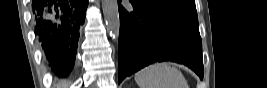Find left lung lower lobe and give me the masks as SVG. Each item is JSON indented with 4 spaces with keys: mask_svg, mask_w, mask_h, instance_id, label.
Returning a JSON list of instances; mask_svg holds the SVG:
<instances>
[{
    "mask_svg": "<svg viewBox=\"0 0 267 88\" xmlns=\"http://www.w3.org/2000/svg\"><path fill=\"white\" fill-rule=\"evenodd\" d=\"M119 2L118 80L160 61L183 63L204 76L198 20L183 15L145 11L133 5L128 12Z\"/></svg>",
    "mask_w": 267,
    "mask_h": 88,
    "instance_id": "1",
    "label": "left lung lower lobe"
}]
</instances>
